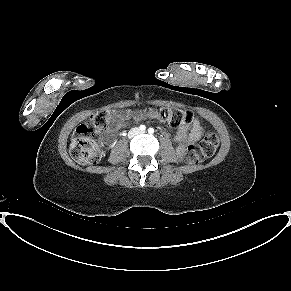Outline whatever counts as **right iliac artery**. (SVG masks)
<instances>
[{"instance_id": "right-iliac-artery-1", "label": "right iliac artery", "mask_w": 291, "mask_h": 291, "mask_svg": "<svg viewBox=\"0 0 291 291\" xmlns=\"http://www.w3.org/2000/svg\"><path fill=\"white\" fill-rule=\"evenodd\" d=\"M139 129H140L141 131H145V130H146V126H145V125H140Z\"/></svg>"}]
</instances>
